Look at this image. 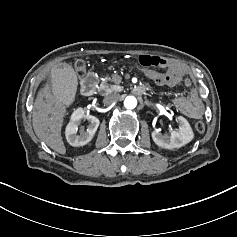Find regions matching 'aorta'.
<instances>
[{
  "label": "aorta",
  "mask_w": 237,
  "mask_h": 237,
  "mask_svg": "<svg viewBox=\"0 0 237 237\" xmlns=\"http://www.w3.org/2000/svg\"><path fill=\"white\" fill-rule=\"evenodd\" d=\"M137 105V99L134 96H127L124 100V106L127 109H134Z\"/></svg>",
  "instance_id": "obj_1"
}]
</instances>
